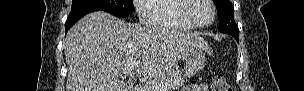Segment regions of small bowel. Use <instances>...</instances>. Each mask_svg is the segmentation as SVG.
Segmentation results:
<instances>
[{
  "mask_svg": "<svg viewBox=\"0 0 304 91\" xmlns=\"http://www.w3.org/2000/svg\"><path fill=\"white\" fill-rule=\"evenodd\" d=\"M185 90H187V91H207L208 88H207L206 84H198V85L186 87Z\"/></svg>",
  "mask_w": 304,
  "mask_h": 91,
  "instance_id": "1",
  "label": "small bowel"
}]
</instances>
